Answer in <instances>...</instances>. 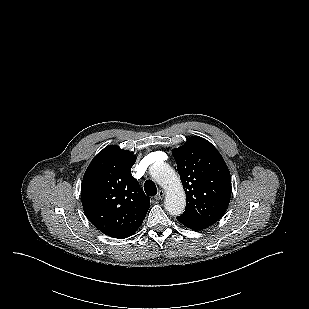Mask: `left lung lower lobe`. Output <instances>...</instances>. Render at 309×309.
Wrapping results in <instances>:
<instances>
[{
	"label": "left lung lower lobe",
	"mask_w": 309,
	"mask_h": 309,
	"mask_svg": "<svg viewBox=\"0 0 309 309\" xmlns=\"http://www.w3.org/2000/svg\"><path fill=\"white\" fill-rule=\"evenodd\" d=\"M177 220L181 224H183L184 226H186V227H188V228H190L192 230H203V229L208 227L205 224L192 221L191 219H188V218L178 217Z\"/></svg>",
	"instance_id": "obj_1"
}]
</instances>
